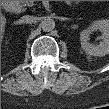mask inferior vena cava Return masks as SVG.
<instances>
[{
  "mask_svg": "<svg viewBox=\"0 0 109 109\" xmlns=\"http://www.w3.org/2000/svg\"><path fill=\"white\" fill-rule=\"evenodd\" d=\"M34 21L35 17L29 15H25L20 19V23H33Z\"/></svg>",
  "mask_w": 109,
  "mask_h": 109,
  "instance_id": "602c4592",
  "label": "inferior vena cava"
}]
</instances>
